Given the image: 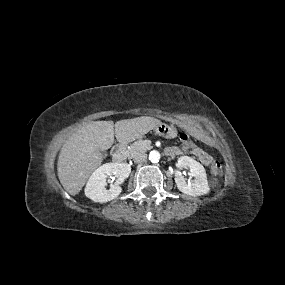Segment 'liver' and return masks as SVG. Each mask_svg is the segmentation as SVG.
<instances>
[{
	"label": "liver",
	"instance_id": "1",
	"mask_svg": "<svg viewBox=\"0 0 285 285\" xmlns=\"http://www.w3.org/2000/svg\"><path fill=\"white\" fill-rule=\"evenodd\" d=\"M161 121L142 116L113 121H92L75 131L63 144L57 161L59 180L70 195L78 194L91 173L101 165L100 151L109 149L114 136L128 144L155 129Z\"/></svg>",
	"mask_w": 285,
	"mask_h": 285
}]
</instances>
